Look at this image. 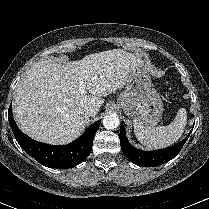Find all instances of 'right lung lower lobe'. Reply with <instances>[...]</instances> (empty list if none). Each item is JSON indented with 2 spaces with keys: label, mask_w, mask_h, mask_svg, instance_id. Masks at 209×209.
Masks as SVG:
<instances>
[{
  "label": "right lung lower lobe",
  "mask_w": 209,
  "mask_h": 209,
  "mask_svg": "<svg viewBox=\"0 0 209 209\" xmlns=\"http://www.w3.org/2000/svg\"><path fill=\"white\" fill-rule=\"evenodd\" d=\"M8 119L13 134L20 147L38 163L50 168H70L83 162L91 153L93 139L101 121L93 123L77 140L63 146H55L37 142L22 133L12 114V106L8 109Z\"/></svg>",
  "instance_id": "1"
}]
</instances>
